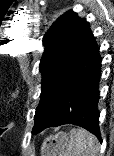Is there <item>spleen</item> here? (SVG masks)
Returning <instances> with one entry per match:
<instances>
[{
  "label": "spleen",
  "mask_w": 114,
  "mask_h": 156,
  "mask_svg": "<svg viewBox=\"0 0 114 156\" xmlns=\"http://www.w3.org/2000/svg\"><path fill=\"white\" fill-rule=\"evenodd\" d=\"M72 142L66 156H97L99 152L98 140L88 131L78 128L71 130Z\"/></svg>",
  "instance_id": "3e777b00"
}]
</instances>
